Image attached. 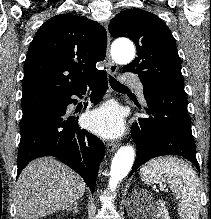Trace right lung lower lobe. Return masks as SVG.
Listing matches in <instances>:
<instances>
[{
    "instance_id": "right-lung-lower-lobe-1",
    "label": "right lung lower lobe",
    "mask_w": 211,
    "mask_h": 219,
    "mask_svg": "<svg viewBox=\"0 0 211 219\" xmlns=\"http://www.w3.org/2000/svg\"><path fill=\"white\" fill-rule=\"evenodd\" d=\"M87 84L93 87L91 101L97 104L108 88L106 73ZM87 84L47 106L23 114L17 176L33 159L54 156L80 174L91 191L95 190L99 164L105 155L104 144L81 129L77 118L66 114L67 106L76 103L71 96L81 97Z\"/></svg>"
}]
</instances>
